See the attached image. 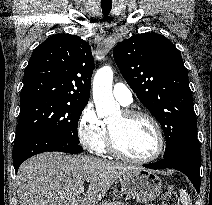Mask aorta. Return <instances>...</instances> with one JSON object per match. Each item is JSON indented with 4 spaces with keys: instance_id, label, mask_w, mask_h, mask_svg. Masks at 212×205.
Instances as JSON below:
<instances>
[{
    "instance_id": "aorta-1",
    "label": "aorta",
    "mask_w": 212,
    "mask_h": 205,
    "mask_svg": "<svg viewBox=\"0 0 212 205\" xmlns=\"http://www.w3.org/2000/svg\"><path fill=\"white\" fill-rule=\"evenodd\" d=\"M113 70L110 66L101 67L93 79V99L99 117H107L119 109L112 94Z\"/></svg>"
}]
</instances>
